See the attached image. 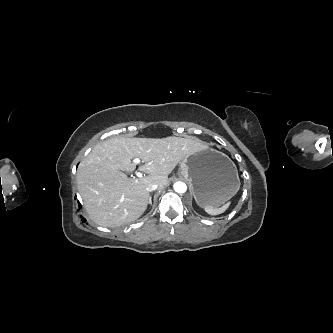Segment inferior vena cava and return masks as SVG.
Returning <instances> with one entry per match:
<instances>
[{
    "label": "inferior vena cava",
    "instance_id": "inferior-vena-cava-1",
    "mask_svg": "<svg viewBox=\"0 0 333 333\" xmlns=\"http://www.w3.org/2000/svg\"><path fill=\"white\" fill-rule=\"evenodd\" d=\"M158 188V185L156 183L149 185L146 189L147 191L151 192Z\"/></svg>",
    "mask_w": 333,
    "mask_h": 333
}]
</instances>
